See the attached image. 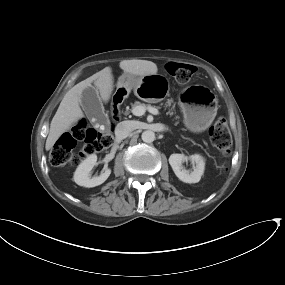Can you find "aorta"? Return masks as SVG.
Segmentation results:
<instances>
[{"label": "aorta", "instance_id": "aorta-1", "mask_svg": "<svg viewBox=\"0 0 285 285\" xmlns=\"http://www.w3.org/2000/svg\"><path fill=\"white\" fill-rule=\"evenodd\" d=\"M141 138L145 143H152L155 140V133L151 130H146L142 133Z\"/></svg>", "mask_w": 285, "mask_h": 285}]
</instances>
